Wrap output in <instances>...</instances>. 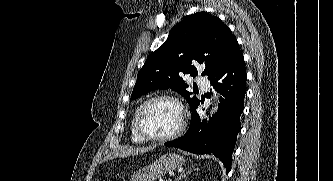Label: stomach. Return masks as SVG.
Here are the masks:
<instances>
[{
  "label": "stomach",
  "instance_id": "0dacf381",
  "mask_svg": "<svg viewBox=\"0 0 333 181\" xmlns=\"http://www.w3.org/2000/svg\"><path fill=\"white\" fill-rule=\"evenodd\" d=\"M185 159L175 153L162 155L154 162L139 168L131 176L130 181H156L165 174L180 168Z\"/></svg>",
  "mask_w": 333,
  "mask_h": 181
}]
</instances>
